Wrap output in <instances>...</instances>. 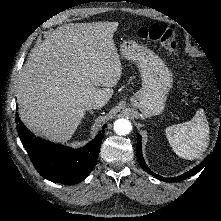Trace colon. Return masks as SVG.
Masks as SVG:
<instances>
[{
    "label": "colon",
    "mask_w": 221,
    "mask_h": 221,
    "mask_svg": "<svg viewBox=\"0 0 221 221\" xmlns=\"http://www.w3.org/2000/svg\"><path fill=\"white\" fill-rule=\"evenodd\" d=\"M138 36L141 39L156 42L162 45L168 52L176 55L179 51V40L175 30L161 24L143 26L138 30ZM193 76V83L196 88H201V81L198 78L196 70L190 68Z\"/></svg>",
    "instance_id": "1"
}]
</instances>
